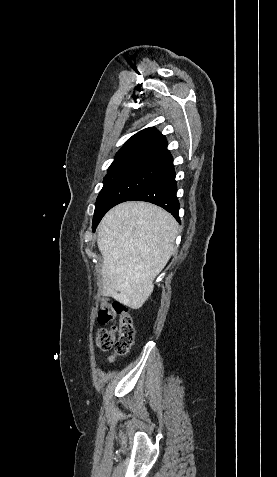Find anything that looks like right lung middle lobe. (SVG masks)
<instances>
[{"instance_id":"obj_1","label":"right lung middle lobe","mask_w":277,"mask_h":477,"mask_svg":"<svg viewBox=\"0 0 277 477\" xmlns=\"http://www.w3.org/2000/svg\"><path fill=\"white\" fill-rule=\"evenodd\" d=\"M159 171L160 168L145 166H126L108 171L103 181L104 186L95 203L93 231L109 209L121 202L129 201Z\"/></svg>"}]
</instances>
